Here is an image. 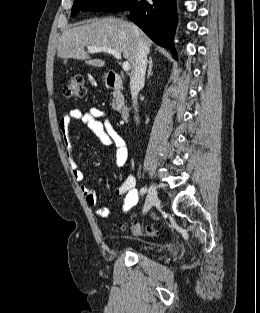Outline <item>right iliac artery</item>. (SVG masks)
<instances>
[{
	"instance_id": "1",
	"label": "right iliac artery",
	"mask_w": 260,
	"mask_h": 313,
	"mask_svg": "<svg viewBox=\"0 0 260 313\" xmlns=\"http://www.w3.org/2000/svg\"><path fill=\"white\" fill-rule=\"evenodd\" d=\"M146 191H147V188L143 187V188L140 189V194L143 195V194L146 193Z\"/></svg>"
}]
</instances>
